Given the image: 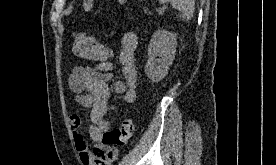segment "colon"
<instances>
[{
    "mask_svg": "<svg viewBox=\"0 0 276 165\" xmlns=\"http://www.w3.org/2000/svg\"><path fill=\"white\" fill-rule=\"evenodd\" d=\"M118 2L123 3L124 0H118ZM73 52L76 56L86 60H103L110 55V50L105 45L81 32L73 35ZM134 129L133 120L125 118L117 128L104 133L101 142L111 149L122 146L132 138Z\"/></svg>",
    "mask_w": 276,
    "mask_h": 165,
    "instance_id": "5ec220e1",
    "label": "colon"
}]
</instances>
